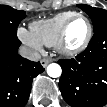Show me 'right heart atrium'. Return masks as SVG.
I'll use <instances>...</instances> for the list:
<instances>
[{
    "label": "right heart atrium",
    "mask_w": 107,
    "mask_h": 107,
    "mask_svg": "<svg viewBox=\"0 0 107 107\" xmlns=\"http://www.w3.org/2000/svg\"><path fill=\"white\" fill-rule=\"evenodd\" d=\"M18 36L21 41L29 47L38 51L42 49V44L28 30L24 28H19Z\"/></svg>",
    "instance_id": "obj_1"
}]
</instances>
